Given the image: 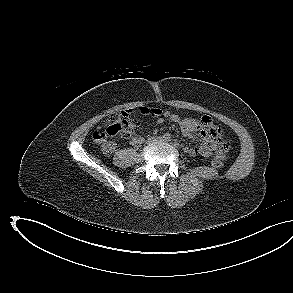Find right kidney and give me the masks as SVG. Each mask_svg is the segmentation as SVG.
Listing matches in <instances>:
<instances>
[{"label": "right kidney", "instance_id": "right-kidney-1", "mask_svg": "<svg viewBox=\"0 0 293 293\" xmlns=\"http://www.w3.org/2000/svg\"><path fill=\"white\" fill-rule=\"evenodd\" d=\"M102 151L104 154L109 155L113 151V144L111 142H107L102 145Z\"/></svg>", "mask_w": 293, "mask_h": 293}]
</instances>
